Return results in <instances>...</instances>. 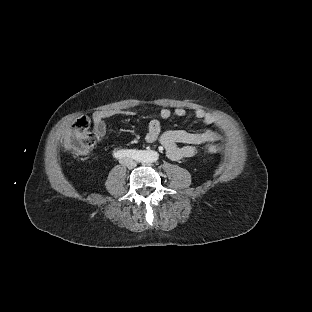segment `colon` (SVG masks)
<instances>
[{"mask_svg":"<svg viewBox=\"0 0 312 312\" xmlns=\"http://www.w3.org/2000/svg\"><path fill=\"white\" fill-rule=\"evenodd\" d=\"M73 132L65 137V145L75 155L88 154L96 143V137L89 128V121L84 116H77L71 124ZM208 154H217L220 146L211 144L207 147Z\"/></svg>","mask_w":312,"mask_h":312,"instance_id":"colon-1","label":"colon"}]
</instances>
